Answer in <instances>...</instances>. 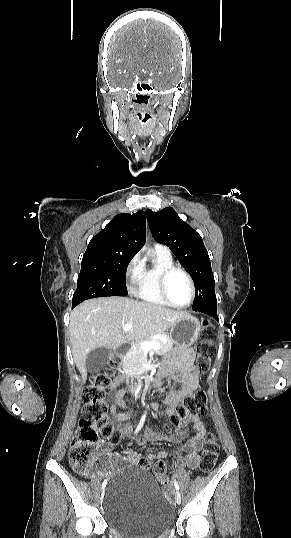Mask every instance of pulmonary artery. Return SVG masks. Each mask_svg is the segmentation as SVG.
Returning <instances> with one entry per match:
<instances>
[{"label":"pulmonary artery","mask_w":291,"mask_h":538,"mask_svg":"<svg viewBox=\"0 0 291 538\" xmlns=\"http://www.w3.org/2000/svg\"><path fill=\"white\" fill-rule=\"evenodd\" d=\"M155 248H157V249H159V250H163V251H166V252H169V253H170L169 249H168V248H167L166 246H163V245H156V247H155Z\"/></svg>","instance_id":"obj_1"}]
</instances>
